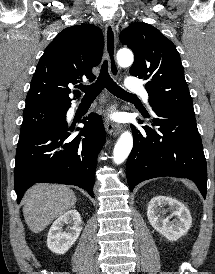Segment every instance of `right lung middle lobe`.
<instances>
[{
	"instance_id": "1",
	"label": "right lung middle lobe",
	"mask_w": 215,
	"mask_h": 274,
	"mask_svg": "<svg viewBox=\"0 0 215 274\" xmlns=\"http://www.w3.org/2000/svg\"><path fill=\"white\" fill-rule=\"evenodd\" d=\"M66 111L67 108L51 106L24 110L19 141L36 131L60 121Z\"/></svg>"
}]
</instances>
